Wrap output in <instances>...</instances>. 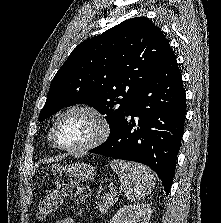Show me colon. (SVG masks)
I'll return each mask as SVG.
<instances>
[{
    "instance_id": "colon-1",
    "label": "colon",
    "mask_w": 221,
    "mask_h": 223,
    "mask_svg": "<svg viewBox=\"0 0 221 223\" xmlns=\"http://www.w3.org/2000/svg\"><path fill=\"white\" fill-rule=\"evenodd\" d=\"M87 186L80 184L75 179L60 181L56 187L49 191L46 196L40 200L37 210V218L46 220L50 218L62 204L65 197L72 196L77 203L84 205L89 196Z\"/></svg>"
}]
</instances>
